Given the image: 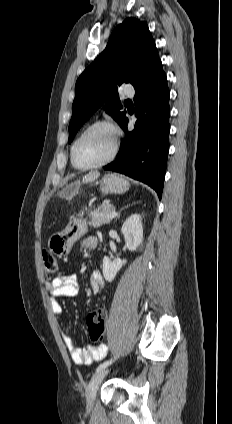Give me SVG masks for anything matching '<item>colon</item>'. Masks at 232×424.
I'll return each mask as SVG.
<instances>
[{
  "mask_svg": "<svg viewBox=\"0 0 232 424\" xmlns=\"http://www.w3.org/2000/svg\"><path fill=\"white\" fill-rule=\"evenodd\" d=\"M42 262L46 273H54L57 269V260L55 256L49 251L42 252ZM105 309L99 308L86 317V324L88 334L93 342H99L104 338L105 333Z\"/></svg>",
  "mask_w": 232,
  "mask_h": 424,
  "instance_id": "colon-1",
  "label": "colon"
}]
</instances>
